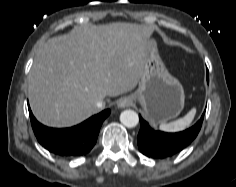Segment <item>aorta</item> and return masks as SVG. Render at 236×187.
<instances>
[{"instance_id": "aorta-1", "label": "aorta", "mask_w": 236, "mask_h": 187, "mask_svg": "<svg viewBox=\"0 0 236 187\" xmlns=\"http://www.w3.org/2000/svg\"><path fill=\"white\" fill-rule=\"evenodd\" d=\"M120 121L124 126L133 128L138 124L139 117L138 114L133 110H124L120 114Z\"/></svg>"}]
</instances>
